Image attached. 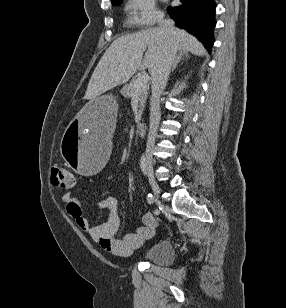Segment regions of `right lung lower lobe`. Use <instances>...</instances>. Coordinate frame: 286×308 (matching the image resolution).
I'll return each mask as SVG.
<instances>
[{
	"label": "right lung lower lobe",
	"mask_w": 286,
	"mask_h": 308,
	"mask_svg": "<svg viewBox=\"0 0 286 308\" xmlns=\"http://www.w3.org/2000/svg\"><path fill=\"white\" fill-rule=\"evenodd\" d=\"M179 7H168V13L176 26L196 36L210 51L214 43L213 30L216 25L214 0H180Z\"/></svg>",
	"instance_id": "1"
}]
</instances>
